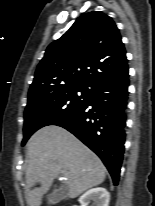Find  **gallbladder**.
<instances>
[{
	"label": "gallbladder",
	"instance_id": "bac80fb5",
	"mask_svg": "<svg viewBox=\"0 0 155 206\" xmlns=\"http://www.w3.org/2000/svg\"><path fill=\"white\" fill-rule=\"evenodd\" d=\"M67 188L54 189L47 197L49 204H56L66 198Z\"/></svg>",
	"mask_w": 155,
	"mask_h": 206
}]
</instances>
